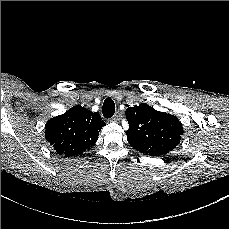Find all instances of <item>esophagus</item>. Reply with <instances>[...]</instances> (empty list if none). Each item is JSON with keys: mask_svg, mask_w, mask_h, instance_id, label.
<instances>
[{"mask_svg": "<svg viewBox=\"0 0 229 229\" xmlns=\"http://www.w3.org/2000/svg\"><path fill=\"white\" fill-rule=\"evenodd\" d=\"M113 121L118 122L121 119V112L117 111L115 115L113 116Z\"/></svg>", "mask_w": 229, "mask_h": 229, "instance_id": "1", "label": "esophagus"}]
</instances>
